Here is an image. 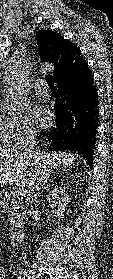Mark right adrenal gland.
Wrapping results in <instances>:
<instances>
[{"label":"right adrenal gland","instance_id":"2a0ac1e0","mask_svg":"<svg viewBox=\"0 0 113 279\" xmlns=\"http://www.w3.org/2000/svg\"><path fill=\"white\" fill-rule=\"evenodd\" d=\"M37 176H38V183L36 185L35 199L38 198L40 194V189L43 188L45 183L49 180L50 174L43 172V173H38Z\"/></svg>","mask_w":113,"mask_h":279}]
</instances>
